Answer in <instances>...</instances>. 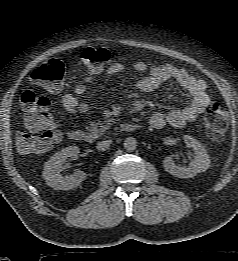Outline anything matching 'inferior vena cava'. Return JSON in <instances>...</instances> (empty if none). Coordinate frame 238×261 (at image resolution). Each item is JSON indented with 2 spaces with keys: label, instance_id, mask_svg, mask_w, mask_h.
I'll list each match as a JSON object with an SVG mask.
<instances>
[{
  "label": "inferior vena cava",
  "instance_id": "1",
  "mask_svg": "<svg viewBox=\"0 0 238 261\" xmlns=\"http://www.w3.org/2000/svg\"><path fill=\"white\" fill-rule=\"evenodd\" d=\"M111 140H105L97 143L98 151H105L109 148Z\"/></svg>",
  "mask_w": 238,
  "mask_h": 261
}]
</instances>
